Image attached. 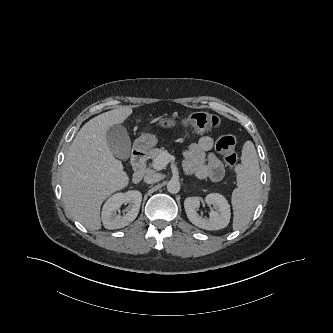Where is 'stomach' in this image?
<instances>
[{
    "mask_svg": "<svg viewBox=\"0 0 333 333\" xmlns=\"http://www.w3.org/2000/svg\"><path fill=\"white\" fill-rule=\"evenodd\" d=\"M158 124L163 128H171L176 125V121L171 118H161ZM158 143L157 136L153 133H143L134 142V147L139 151H148Z\"/></svg>",
    "mask_w": 333,
    "mask_h": 333,
    "instance_id": "0dacf381",
    "label": "stomach"
}]
</instances>
